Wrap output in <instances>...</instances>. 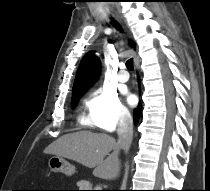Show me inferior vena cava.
Wrapping results in <instances>:
<instances>
[{"label":"inferior vena cava","instance_id":"602c4592","mask_svg":"<svg viewBox=\"0 0 210 191\" xmlns=\"http://www.w3.org/2000/svg\"><path fill=\"white\" fill-rule=\"evenodd\" d=\"M117 133L119 148L128 152L133 138V118L129 112L120 115Z\"/></svg>","mask_w":210,"mask_h":191}]
</instances>
